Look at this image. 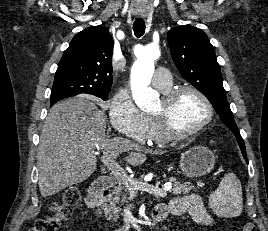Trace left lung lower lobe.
Returning a JSON list of instances; mask_svg holds the SVG:
<instances>
[{"mask_svg": "<svg viewBox=\"0 0 268 231\" xmlns=\"http://www.w3.org/2000/svg\"><path fill=\"white\" fill-rule=\"evenodd\" d=\"M241 151H242L244 158L246 159V149H242ZM246 162H248L247 159H246Z\"/></svg>", "mask_w": 268, "mask_h": 231, "instance_id": "1", "label": "left lung lower lobe"}]
</instances>
